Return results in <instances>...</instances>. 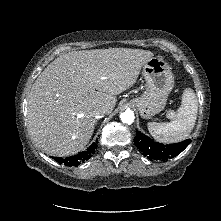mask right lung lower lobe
Segmentation results:
<instances>
[{
  "label": "right lung lower lobe",
  "instance_id": "right-lung-lower-lobe-1",
  "mask_svg": "<svg viewBox=\"0 0 221 221\" xmlns=\"http://www.w3.org/2000/svg\"><path fill=\"white\" fill-rule=\"evenodd\" d=\"M96 148H97V141L94 142L87 150L77 155L66 158H61V157H52V158L58 163L64 164L66 166H78L83 161L88 160L95 153Z\"/></svg>",
  "mask_w": 221,
  "mask_h": 221
}]
</instances>
